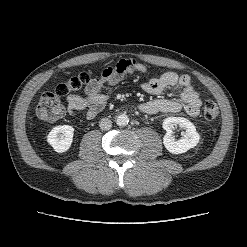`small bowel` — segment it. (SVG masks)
Returning <instances> with one entry per match:
<instances>
[{
  "mask_svg": "<svg viewBox=\"0 0 247 247\" xmlns=\"http://www.w3.org/2000/svg\"><path fill=\"white\" fill-rule=\"evenodd\" d=\"M134 72L145 74L147 67L133 60H121L115 66L105 68L100 77L92 80L85 89V95L70 94L67 96V111L75 115L84 111L86 117L94 118L106 105L108 96L102 92L105 85L114 86L122 78ZM142 89L152 95H161L171 90L177 93L180 100L156 98L143 102L139 110L146 114L177 113L182 109L190 116H197L200 112L201 97L191 85L188 75H179L176 72H165L157 78L150 79L142 84Z\"/></svg>",
  "mask_w": 247,
  "mask_h": 247,
  "instance_id": "c3829d8e",
  "label": "small bowel"
}]
</instances>
